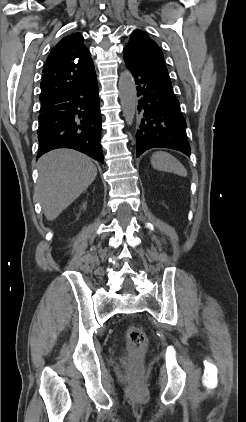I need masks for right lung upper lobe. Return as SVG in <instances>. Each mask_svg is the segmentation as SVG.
Instances as JSON below:
<instances>
[{"instance_id": "obj_1", "label": "right lung upper lobe", "mask_w": 246, "mask_h": 422, "mask_svg": "<svg viewBox=\"0 0 246 422\" xmlns=\"http://www.w3.org/2000/svg\"><path fill=\"white\" fill-rule=\"evenodd\" d=\"M95 76L94 64L83 36L79 32L70 34L60 40L47 57L39 100L44 103L91 81Z\"/></svg>"}]
</instances>
